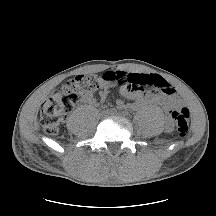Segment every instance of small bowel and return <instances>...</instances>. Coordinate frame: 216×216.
Segmentation results:
<instances>
[{
  "instance_id": "small-bowel-1",
  "label": "small bowel",
  "mask_w": 216,
  "mask_h": 216,
  "mask_svg": "<svg viewBox=\"0 0 216 216\" xmlns=\"http://www.w3.org/2000/svg\"><path fill=\"white\" fill-rule=\"evenodd\" d=\"M111 76H116L115 83L120 86L119 90L122 96L127 99L135 100L136 104L134 108L146 104L155 103L160 105L165 110H168L173 104L178 101V98L172 97L175 94V89L169 86L168 82L162 77L149 74V73H126V72H107ZM102 74L101 80L108 81L109 75ZM114 81L108 83V86L113 85ZM159 84V85H158ZM158 85V88H157ZM108 89H104L100 92V101L104 102L108 96ZM89 103L94 104L95 99L89 98L86 100ZM119 108L124 107V103L121 100L117 101ZM167 130L170 131L171 127L168 126Z\"/></svg>"
}]
</instances>
